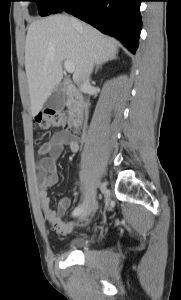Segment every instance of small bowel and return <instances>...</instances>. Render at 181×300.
Wrapping results in <instances>:
<instances>
[{
  "instance_id": "1",
  "label": "small bowel",
  "mask_w": 181,
  "mask_h": 300,
  "mask_svg": "<svg viewBox=\"0 0 181 300\" xmlns=\"http://www.w3.org/2000/svg\"><path fill=\"white\" fill-rule=\"evenodd\" d=\"M65 146H68L73 153L79 151V144L74 138L67 136L63 132L52 134L49 140L38 150L40 160L38 163L39 171L36 175V183L39 186L38 198L41 203L43 216L47 223L60 235H66L74 228V223L62 220V216L70 207V201L62 199L58 203L57 208L54 209L50 204L48 189L55 186L59 181L56 161ZM80 223H84V220Z\"/></svg>"
}]
</instances>
